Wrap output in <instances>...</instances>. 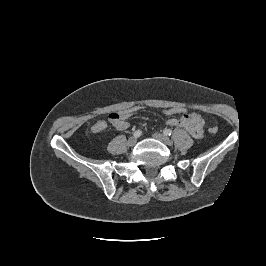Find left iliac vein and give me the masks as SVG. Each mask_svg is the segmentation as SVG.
Wrapping results in <instances>:
<instances>
[{"label":"left iliac vein","mask_w":266,"mask_h":266,"mask_svg":"<svg viewBox=\"0 0 266 266\" xmlns=\"http://www.w3.org/2000/svg\"><path fill=\"white\" fill-rule=\"evenodd\" d=\"M153 137L161 142H163L164 144H167L169 145L171 143V140L168 136L162 134V133H159V132H156L153 134Z\"/></svg>","instance_id":"obj_1"}]
</instances>
